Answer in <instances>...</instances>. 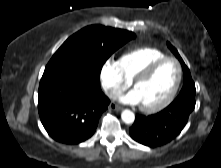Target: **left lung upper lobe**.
I'll return each mask as SVG.
<instances>
[{"label": "left lung upper lobe", "instance_id": "1", "mask_svg": "<svg viewBox=\"0 0 221 168\" xmlns=\"http://www.w3.org/2000/svg\"><path fill=\"white\" fill-rule=\"evenodd\" d=\"M167 46L174 53V55L179 59V61L181 62L182 68H183L184 84H183V88L181 91H195V84L192 80V77H191L188 67L183 62V60L180 57L177 50L169 42H167Z\"/></svg>", "mask_w": 221, "mask_h": 168}]
</instances>
